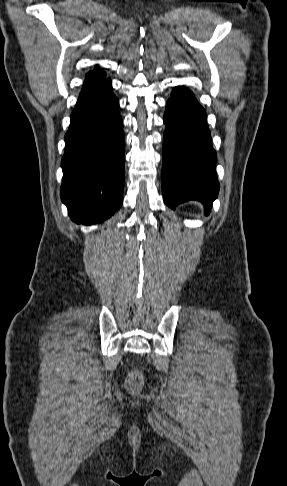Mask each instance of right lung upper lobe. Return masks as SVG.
Segmentation results:
<instances>
[{
  "label": "right lung upper lobe",
  "mask_w": 287,
  "mask_h": 486,
  "mask_svg": "<svg viewBox=\"0 0 287 486\" xmlns=\"http://www.w3.org/2000/svg\"><path fill=\"white\" fill-rule=\"evenodd\" d=\"M105 76H106V73L103 70H101L98 65H96V67L93 71H90L86 74L84 86L98 82V81L104 79Z\"/></svg>",
  "instance_id": "right-lung-upper-lobe-1"
}]
</instances>
